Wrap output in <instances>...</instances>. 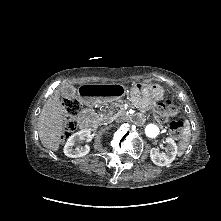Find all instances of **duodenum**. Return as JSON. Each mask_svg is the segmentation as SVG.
Instances as JSON below:
<instances>
[{
	"label": "duodenum",
	"instance_id": "1",
	"mask_svg": "<svg viewBox=\"0 0 221 221\" xmlns=\"http://www.w3.org/2000/svg\"><path fill=\"white\" fill-rule=\"evenodd\" d=\"M122 94L123 88L118 85H82L78 89L79 98L85 100L89 105L110 102ZM78 122L83 131H89L94 124V119L91 115L83 113L80 115Z\"/></svg>",
	"mask_w": 221,
	"mask_h": 221
}]
</instances>
